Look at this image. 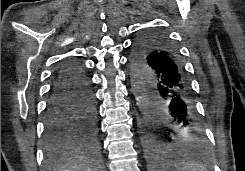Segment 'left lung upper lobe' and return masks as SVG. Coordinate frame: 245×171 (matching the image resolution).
<instances>
[{
    "mask_svg": "<svg viewBox=\"0 0 245 171\" xmlns=\"http://www.w3.org/2000/svg\"><path fill=\"white\" fill-rule=\"evenodd\" d=\"M162 46H173L164 34L157 31H148L141 34L134 44L133 62L149 61V56Z\"/></svg>",
    "mask_w": 245,
    "mask_h": 171,
    "instance_id": "left-lung-upper-lobe-1",
    "label": "left lung upper lobe"
}]
</instances>
